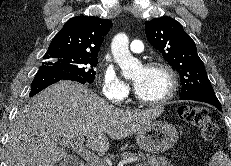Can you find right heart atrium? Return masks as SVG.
I'll list each match as a JSON object with an SVG mask.
<instances>
[{
  "label": "right heart atrium",
  "mask_w": 231,
  "mask_h": 166,
  "mask_svg": "<svg viewBox=\"0 0 231 166\" xmlns=\"http://www.w3.org/2000/svg\"><path fill=\"white\" fill-rule=\"evenodd\" d=\"M101 89L104 96L112 101L122 100L128 93V85L118 75L115 67L106 62L100 72Z\"/></svg>",
  "instance_id": "1"
}]
</instances>
